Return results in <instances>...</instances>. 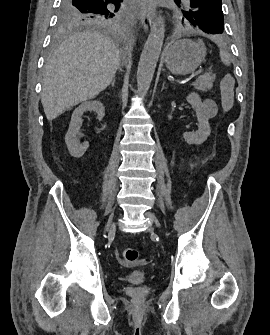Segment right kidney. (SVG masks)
<instances>
[{
	"label": "right kidney",
	"mask_w": 270,
	"mask_h": 335,
	"mask_svg": "<svg viewBox=\"0 0 270 335\" xmlns=\"http://www.w3.org/2000/svg\"><path fill=\"white\" fill-rule=\"evenodd\" d=\"M92 110L98 114V120H103L105 116V108L101 102H83V104H80L72 114L69 130L65 136V142L69 154L74 156V158H81L89 146V142L79 144L77 136H80L79 130L83 122L81 118L82 114H84V112H92Z\"/></svg>",
	"instance_id": "1"
}]
</instances>
